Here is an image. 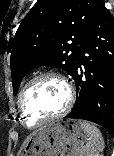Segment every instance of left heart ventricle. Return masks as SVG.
<instances>
[{
  "label": "left heart ventricle",
  "mask_w": 114,
  "mask_h": 156,
  "mask_svg": "<svg viewBox=\"0 0 114 156\" xmlns=\"http://www.w3.org/2000/svg\"><path fill=\"white\" fill-rule=\"evenodd\" d=\"M66 102L64 86L53 78H44L31 85L22 97L25 121L34 125L58 113Z\"/></svg>",
  "instance_id": "left-heart-ventricle-1"
}]
</instances>
